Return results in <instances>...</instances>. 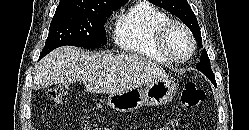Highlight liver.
Returning a JSON list of instances; mask_svg holds the SVG:
<instances>
[{"instance_id": "1", "label": "liver", "mask_w": 249, "mask_h": 130, "mask_svg": "<svg viewBox=\"0 0 249 130\" xmlns=\"http://www.w3.org/2000/svg\"><path fill=\"white\" fill-rule=\"evenodd\" d=\"M167 77L161 66L143 57L84 52L65 46L52 51L39 62L33 87L40 89L81 81L87 92L114 94Z\"/></svg>"}]
</instances>
